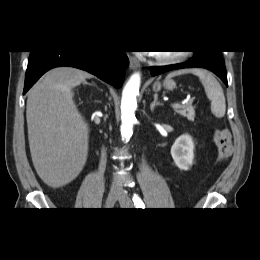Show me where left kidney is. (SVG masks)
<instances>
[{
  "instance_id": "1",
  "label": "left kidney",
  "mask_w": 260,
  "mask_h": 260,
  "mask_svg": "<svg viewBox=\"0 0 260 260\" xmlns=\"http://www.w3.org/2000/svg\"><path fill=\"white\" fill-rule=\"evenodd\" d=\"M172 158L181 170L190 169L194 159V142L188 134H183L176 139L171 147Z\"/></svg>"
}]
</instances>
